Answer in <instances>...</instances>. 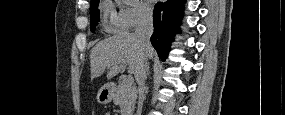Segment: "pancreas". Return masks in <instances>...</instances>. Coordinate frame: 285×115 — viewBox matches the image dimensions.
Returning <instances> with one entry per match:
<instances>
[{"label": "pancreas", "mask_w": 285, "mask_h": 115, "mask_svg": "<svg viewBox=\"0 0 285 115\" xmlns=\"http://www.w3.org/2000/svg\"><path fill=\"white\" fill-rule=\"evenodd\" d=\"M137 96V90L132 85H124L121 82L117 88H115V93L113 96V101L115 104L120 106L121 115H130Z\"/></svg>", "instance_id": "pancreas-1"}]
</instances>
